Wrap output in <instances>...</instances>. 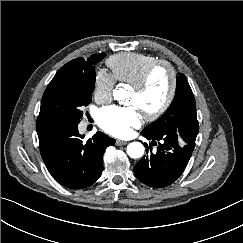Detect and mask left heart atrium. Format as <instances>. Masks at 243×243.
I'll list each match as a JSON object with an SVG mask.
<instances>
[{
    "label": "left heart atrium",
    "instance_id": "obj_1",
    "mask_svg": "<svg viewBox=\"0 0 243 243\" xmlns=\"http://www.w3.org/2000/svg\"><path fill=\"white\" fill-rule=\"evenodd\" d=\"M96 119L103 130L115 136H126L141 123V115L135 105L105 106L98 111Z\"/></svg>",
    "mask_w": 243,
    "mask_h": 243
}]
</instances>
